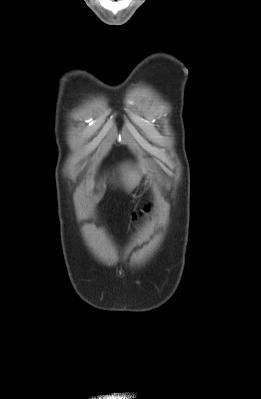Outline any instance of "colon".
Listing matches in <instances>:
<instances>
[{
    "instance_id": "obj_1",
    "label": "colon",
    "mask_w": 261,
    "mask_h": 399,
    "mask_svg": "<svg viewBox=\"0 0 261 399\" xmlns=\"http://www.w3.org/2000/svg\"><path fill=\"white\" fill-rule=\"evenodd\" d=\"M149 210V206H146L144 209L138 211L133 215V219L135 220L138 216L142 215L144 212H147Z\"/></svg>"
}]
</instances>
